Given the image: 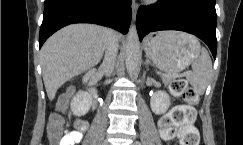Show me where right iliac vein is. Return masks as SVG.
<instances>
[{
    "label": "right iliac vein",
    "instance_id": "1",
    "mask_svg": "<svg viewBox=\"0 0 243 145\" xmlns=\"http://www.w3.org/2000/svg\"><path fill=\"white\" fill-rule=\"evenodd\" d=\"M102 145H110L108 140H105Z\"/></svg>",
    "mask_w": 243,
    "mask_h": 145
}]
</instances>
